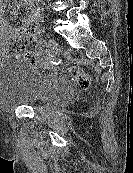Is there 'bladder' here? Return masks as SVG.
<instances>
[{
    "label": "bladder",
    "mask_w": 133,
    "mask_h": 173,
    "mask_svg": "<svg viewBox=\"0 0 133 173\" xmlns=\"http://www.w3.org/2000/svg\"><path fill=\"white\" fill-rule=\"evenodd\" d=\"M69 81L56 74L41 73L19 61L0 65V109L26 105L33 108L62 103L71 96Z\"/></svg>",
    "instance_id": "31cf9c89"
}]
</instances>
